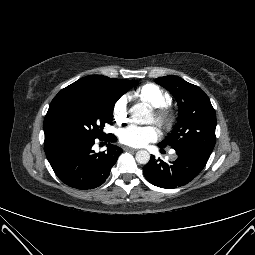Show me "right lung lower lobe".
<instances>
[{
    "label": "right lung lower lobe",
    "mask_w": 255,
    "mask_h": 255,
    "mask_svg": "<svg viewBox=\"0 0 255 255\" xmlns=\"http://www.w3.org/2000/svg\"><path fill=\"white\" fill-rule=\"evenodd\" d=\"M95 139L83 137H57L44 143L47 159L58 178L70 187L80 190L94 189L105 182L122 149L108 144L106 152L92 150ZM100 140L115 142L108 134Z\"/></svg>",
    "instance_id": "1"
}]
</instances>
